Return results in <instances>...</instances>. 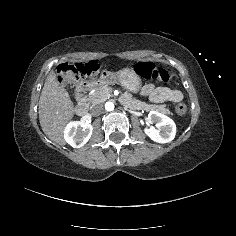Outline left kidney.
Masks as SVG:
<instances>
[{"label":"left kidney","mask_w":236,"mask_h":236,"mask_svg":"<svg viewBox=\"0 0 236 236\" xmlns=\"http://www.w3.org/2000/svg\"><path fill=\"white\" fill-rule=\"evenodd\" d=\"M148 118L157 127V129L150 127L144 130L151 140L157 143H168L174 139L176 125L171 118L154 110L149 112Z\"/></svg>","instance_id":"1"}]
</instances>
